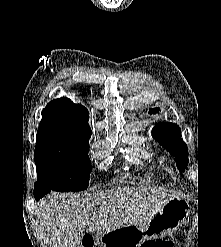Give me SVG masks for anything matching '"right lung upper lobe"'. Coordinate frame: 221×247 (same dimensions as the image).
Returning <instances> with one entry per match:
<instances>
[{
    "mask_svg": "<svg viewBox=\"0 0 221 247\" xmlns=\"http://www.w3.org/2000/svg\"><path fill=\"white\" fill-rule=\"evenodd\" d=\"M88 120L84 106L63 97L47 104L42 111L39 130L63 131L90 138L92 132Z\"/></svg>",
    "mask_w": 221,
    "mask_h": 247,
    "instance_id": "cb5924a9",
    "label": "right lung upper lobe"
}]
</instances>
